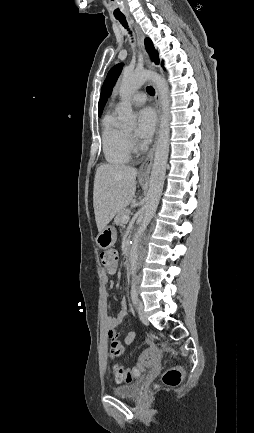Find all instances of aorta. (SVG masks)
Segmentation results:
<instances>
[{
	"instance_id": "1",
	"label": "aorta",
	"mask_w": 254,
	"mask_h": 433,
	"mask_svg": "<svg viewBox=\"0 0 254 433\" xmlns=\"http://www.w3.org/2000/svg\"><path fill=\"white\" fill-rule=\"evenodd\" d=\"M149 80L154 83L158 90L161 101L162 115L160 121L159 137L155 150L154 163L151 170L148 190V201L145 207V214L140 227L134 235L133 244L129 255L130 274L133 278L136 276L137 273V249L141 235L147 228L148 224L150 223L156 212L163 189L167 159L169 154L170 96L169 86L165 78L157 73L146 70L125 72L119 87L121 98L119 119L124 125L131 126L136 123V115L132 111L129 99L136 90H138L145 82Z\"/></svg>"
}]
</instances>
